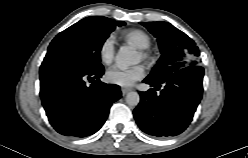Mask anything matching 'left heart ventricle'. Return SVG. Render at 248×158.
I'll return each instance as SVG.
<instances>
[{
	"label": "left heart ventricle",
	"instance_id": "obj_1",
	"mask_svg": "<svg viewBox=\"0 0 248 158\" xmlns=\"http://www.w3.org/2000/svg\"><path fill=\"white\" fill-rule=\"evenodd\" d=\"M138 60H141V55L140 54H138Z\"/></svg>",
	"mask_w": 248,
	"mask_h": 158
}]
</instances>
